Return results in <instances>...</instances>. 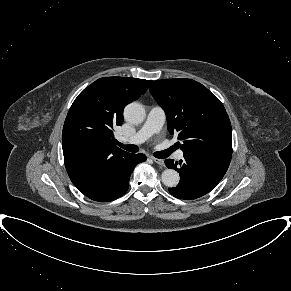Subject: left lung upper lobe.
I'll use <instances>...</instances> for the list:
<instances>
[{"instance_id": "left-lung-upper-lobe-1", "label": "left lung upper lobe", "mask_w": 291, "mask_h": 291, "mask_svg": "<svg viewBox=\"0 0 291 291\" xmlns=\"http://www.w3.org/2000/svg\"><path fill=\"white\" fill-rule=\"evenodd\" d=\"M149 91L166 112L170 134L183 141L184 153L232 155L229 117L205 86L191 79H164L154 81Z\"/></svg>"}]
</instances>
